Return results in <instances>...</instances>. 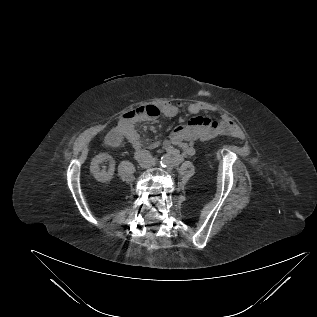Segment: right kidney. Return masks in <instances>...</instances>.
Returning <instances> with one entry per match:
<instances>
[{
  "label": "right kidney",
  "instance_id": "right-kidney-1",
  "mask_svg": "<svg viewBox=\"0 0 317 317\" xmlns=\"http://www.w3.org/2000/svg\"><path fill=\"white\" fill-rule=\"evenodd\" d=\"M109 161L108 170L102 169L100 170L99 165L104 162ZM115 171V162L113 158L107 153H99L96 155L90 165V172L94 176V178L99 182H106L112 179Z\"/></svg>",
  "mask_w": 317,
  "mask_h": 317
}]
</instances>
